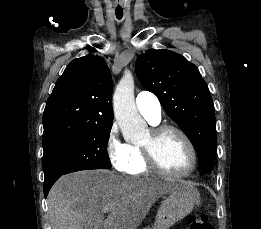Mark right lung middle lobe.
<instances>
[{
    "label": "right lung middle lobe",
    "mask_w": 261,
    "mask_h": 229,
    "mask_svg": "<svg viewBox=\"0 0 261 229\" xmlns=\"http://www.w3.org/2000/svg\"><path fill=\"white\" fill-rule=\"evenodd\" d=\"M111 127L112 124L94 125L69 140L44 148V181L80 170L111 168L107 153Z\"/></svg>",
    "instance_id": "obj_1"
}]
</instances>
